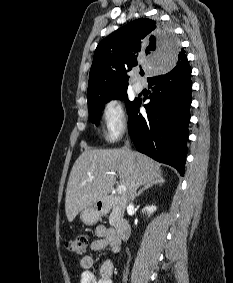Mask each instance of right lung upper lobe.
I'll use <instances>...</instances> for the list:
<instances>
[{"instance_id":"1","label":"right lung upper lobe","mask_w":233,"mask_h":283,"mask_svg":"<svg viewBox=\"0 0 233 283\" xmlns=\"http://www.w3.org/2000/svg\"><path fill=\"white\" fill-rule=\"evenodd\" d=\"M186 53V49H180L173 31L159 21L140 18L128 23L103 39L95 50L88 106L126 91L128 71L171 70V65H177Z\"/></svg>"}]
</instances>
